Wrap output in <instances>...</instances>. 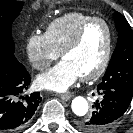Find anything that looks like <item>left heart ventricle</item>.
<instances>
[{
  "mask_svg": "<svg viewBox=\"0 0 133 133\" xmlns=\"http://www.w3.org/2000/svg\"><path fill=\"white\" fill-rule=\"evenodd\" d=\"M107 32L100 23L92 24L85 32L79 45L68 52L64 59L69 61L80 76L94 71L105 53Z\"/></svg>",
  "mask_w": 133,
  "mask_h": 133,
  "instance_id": "left-heart-ventricle-1",
  "label": "left heart ventricle"
}]
</instances>
